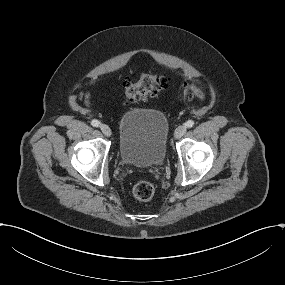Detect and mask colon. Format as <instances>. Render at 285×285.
<instances>
[{"mask_svg":"<svg viewBox=\"0 0 285 285\" xmlns=\"http://www.w3.org/2000/svg\"><path fill=\"white\" fill-rule=\"evenodd\" d=\"M170 78L164 74L145 73L136 80H128L124 83V99L133 104L156 95L165 88ZM185 96L190 101H201L205 98L203 91L195 84L184 83ZM155 186L149 181H138L132 187L133 197L140 202H147L155 195Z\"/></svg>","mask_w":285,"mask_h":285,"instance_id":"5ec220e1","label":"colon"}]
</instances>
